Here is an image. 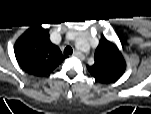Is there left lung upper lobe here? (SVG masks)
<instances>
[{
  "mask_svg": "<svg viewBox=\"0 0 151 114\" xmlns=\"http://www.w3.org/2000/svg\"><path fill=\"white\" fill-rule=\"evenodd\" d=\"M95 63L87 66L90 74L96 81L101 83H112L117 81L124 73L126 63L118 48L102 38L95 51Z\"/></svg>",
  "mask_w": 151,
  "mask_h": 114,
  "instance_id": "left-lung-upper-lobe-1",
  "label": "left lung upper lobe"
}]
</instances>
